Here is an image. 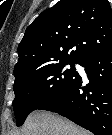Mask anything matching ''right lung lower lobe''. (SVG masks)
<instances>
[{"mask_svg":"<svg viewBox=\"0 0 112 135\" xmlns=\"http://www.w3.org/2000/svg\"><path fill=\"white\" fill-rule=\"evenodd\" d=\"M79 64L89 83L77 73L71 87L38 109L56 112L95 135H112V48Z\"/></svg>","mask_w":112,"mask_h":135,"instance_id":"1","label":"right lung lower lobe"}]
</instances>
